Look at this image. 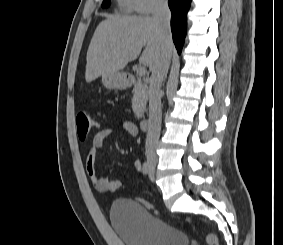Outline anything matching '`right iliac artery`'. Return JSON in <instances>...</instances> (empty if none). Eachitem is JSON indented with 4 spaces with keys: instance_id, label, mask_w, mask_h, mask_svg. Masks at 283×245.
I'll return each instance as SVG.
<instances>
[{
    "instance_id": "1",
    "label": "right iliac artery",
    "mask_w": 283,
    "mask_h": 245,
    "mask_svg": "<svg viewBox=\"0 0 283 245\" xmlns=\"http://www.w3.org/2000/svg\"><path fill=\"white\" fill-rule=\"evenodd\" d=\"M142 171L145 175H147L151 172V167L149 166V164L147 162L143 163V170Z\"/></svg>"
}]
</instances>
